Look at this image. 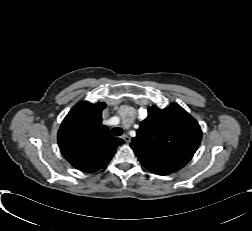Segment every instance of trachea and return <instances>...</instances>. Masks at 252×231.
I'll return each mask as SVG.
<instances>
[{
    "instance_id": "1",
    "label": "trachea",
    "mask_w": 252,
    "mask_h": 231,
    "mask_svg": "<svg viewBox=\"0 0 252 231\" xmlns=\"http://www.w3.org/2000/svg\"><path fill=\"white\" fill-rule=\"evenodd\" d=\"M122 133H123V130L120 127H114L112 129V135H114V136H120V135H122Z\"/></svg>"
}]
</instances>
